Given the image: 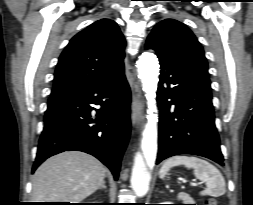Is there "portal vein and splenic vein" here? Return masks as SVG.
I'll list each match as a JSON object with an SVG mask.
<instances>
[{
	"label": "portal vein and splenic vein",
	"mask_w": 253,
	"mask_h": 205,
	"mask_svg": "<svg viewBox=\"0 0 253 205\" xmlns=\"http://www.w3.org/2000/svg\"><path fill=\"white\" fill-rule=\"evenodd\" d=\"M199 184L198 183H196V182H193L192 183V186H198Z\"/></svg>",
	"instance_id": "1"
}]
</instances>
